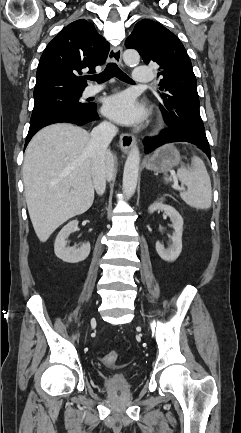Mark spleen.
I'll list each match as a JSON object with an SVG mask.
<instances>
[{"instance_id": "obj_1", "label": "spleen", "mask_w": 241, "mask_h": 433, "mask_svg": "<svg viewBox=\"0 0 241 433\" xmlns=\"http://www.w3.org/2000/svg\"><path fill=\"white\" fill-rule=\"evenodd\" d=\"M177 178L187 186V191L180 192L182 200L191 207L206 210L211 207L212 188L210 177L203 161L193 155L191 168L181 166L177 171ZM166 182L169 178H164Z\"/></svg>"}]
</instances>
